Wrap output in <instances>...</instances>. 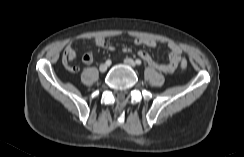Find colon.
I'll return each mask as SVG.
<instances>
[{
    "label": "colon",
    "mask_w": 244,
    "mask_h": 157,
    "mask_svg": "<svg viewBox=\"0 0 244 157\" xmlns=\"http://www.w3.org/2000/svg\"><path fill=\"white\" fill-rule=\"evenodd\" d=\"M75 58V53H69V54H63V64L65 66V68L71 72H75L77 71V66H75L72 61ZM187 60L186 59H182L180 62V66L182 69H185L187 67Z\"/></svg>",
    "instance_id": "obj_1"
}]
</instances>
